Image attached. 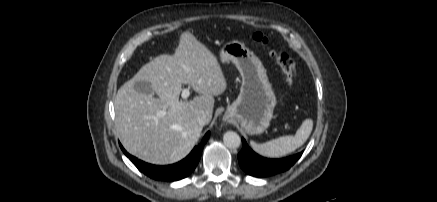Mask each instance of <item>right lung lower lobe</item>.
Here are the masks:
<instances>
[{"label": "right lung lower lobe", "instance_id": "1", "mask_svg": "<svg viewBox=\"0 0 437 202\" xmlns=\"http://www.w3.org/2000/svg\"><path fill=\"white\" fill-rule=\"evenodd\" d=\"M210 132H207L201 143L196 146L191 153L178 163L165 166H157L145 163L130 155L120 144L124 154L134 163V165L145 175L155 180L176 181L189 176L196 168L202 155L203 147L209 138Z\"/></svg>", "mask_w": 437, "mask_h": 202}]
</instances>
